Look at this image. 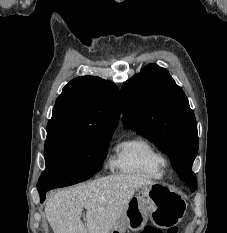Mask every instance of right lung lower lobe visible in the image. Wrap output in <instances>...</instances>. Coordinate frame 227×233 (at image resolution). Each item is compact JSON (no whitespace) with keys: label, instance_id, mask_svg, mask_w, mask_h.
<instances>
[{"label":"right lung lower lobe","instance_id":"1","mask_svg":"<svg viewBox=\"0 0 227 233\" xmlns=\"http://www.w3.org/2000/svg\"><path fill=\"white\" fill-rule=\"evenodd\" d=\"M48 190H41L39 191V194H40V201L43 202L44 199H45V193L47 192Z\"/></svg>","mask_w":227,"mask_h":233}]
</instances>
